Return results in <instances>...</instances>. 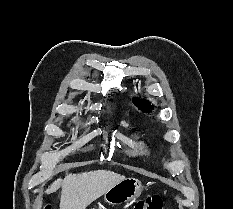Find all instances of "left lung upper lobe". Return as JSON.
I'll return each instance as SVG.
<instances>
[{
    "label": "left lung upper lobe",
    "mask_w": 233,
    "mask_h": 209,
    "mask_svg": "<svg viewBox=\"0 0 233 209\" xmlns=\"http://www.w3.org/2000/svg\"><path fill=\"white\" fill-rule=\"evenodd\" d=\"M134 102L139 107V109L142 111H146V110L153 108V106H151V104H149V102L145 100H139L135 98Z\"/></svg>",
    "instance_id": "obj_1"
}]
</instances>
